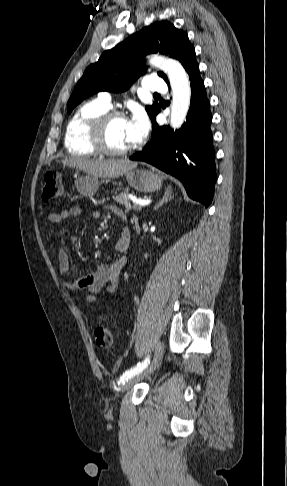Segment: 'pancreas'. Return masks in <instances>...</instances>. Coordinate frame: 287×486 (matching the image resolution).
<instances>
[{
  "label": "pancreas",
  "instance_id": "1",
  "mask_svg": "<svg viewBox=\"0 0 287 486\" xmlns=\"http://www.w3.org/2000/svg\"><path fill=\"white\" fill-rule=\"evenodd\" d=\"M114 201L119 203L120 205H123L127 211L134 209L135 211H141V207H138L136 205H131L130 198L127 195V191H124L120 193L119 195H116L113 197Z\"/></svg>",
  "mask_w": 287,
  "mask_h": 486
}]
</instances>
